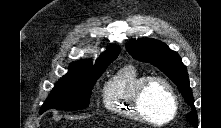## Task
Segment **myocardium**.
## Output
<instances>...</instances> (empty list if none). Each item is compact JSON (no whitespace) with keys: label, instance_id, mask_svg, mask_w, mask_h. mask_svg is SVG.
I'll return each instance as SVG.
<instances>
[{"label":"myocardium","instance_id":"myocardium-1","mask_svg":"<svg viewBox=\"0 0 221 128\" xmlns=\"http://www.w3.org/2000/svg\"><path fill=\"white\" fill-rule=\"evenodd\" d=\"M153 84H160L165 88L168 94V97L170 99L171 106H172L171 116L162 123H157L153 121L151 117L147 114V112L144 110V107H143V99H144L145 93ZM133 104H134V109L137 115L140 117V119L148 123L155 124V125H161V126L168 125L175 119V117L177 116V112H178V101H177L176 93L172 85L170 84V82L161 76H148L147 78H145L139 84V86L137 87L134 93Z\"/></svg>","mask_w":221,"mask_h":128}]
</instances>
